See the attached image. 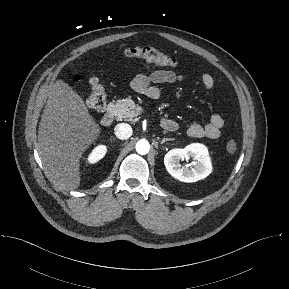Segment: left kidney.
<instances>
[{"label":"left kidney","mask_w":289,"mask_h":289,"mask_svg":"<svg viewBox=\"0 0 289 289\" xmlns=\"http://www.w3.org/2000/svg\"><path fill=\"white\" fill-rule=\"evenodd\" d=\"M184 159L193 160L191 169L180 164ZM164 165L172 177L186 183L204 179L212 171L208 150L199 143L170 150L164 157Z\"/></svg>","instance_id":"1"}]
</instances>
